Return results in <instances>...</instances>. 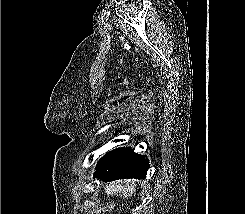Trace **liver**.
<instances>
[{"label":"liver","instance_id":"1","mask_svg":"<svg viewBox=\"0 0 245 214\" xmlns=\"http://www.w3.org/2000/svg\"><path fill=\"white\" fill-rule=\"evenodd\" d=\"M136 190V185L133 180L129 181H115L112 183H108L104 187V191L107 194V196H114L116 195L121 196L124 198H129L133 195V193Z\"/></svg>","mask_w":245,"mask_h":214}]
</instances>
